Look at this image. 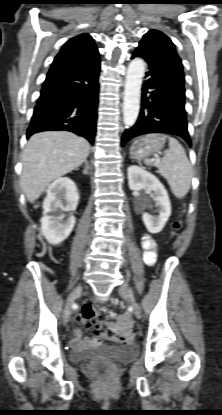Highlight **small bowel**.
<instances>
[{
	"instance_id": "obj_1",
	"label": "small bowel",
	"mask_w": 222,
	"mask_h": 415,
	"mask_svg": "<svg viewBox=\"0 0 222 415\" xmlns=\"http://www.w3.org/2000/svg\"><path fill=\"white\" fill-rule=\"evenodd\" d=\"M142 247L144 249V258L148 264H153L156 260V248H157V242L154 238H152L149 235H145L142 238ZM128 320L127 316L119 317L116 322L117 323H126ZM94 343L98 342L97 339L93 340ZM84 343L82 340L80 333L77 332V336L73 341V345L78 346L80 344Z\"/></svg>"
}]
</instances>
